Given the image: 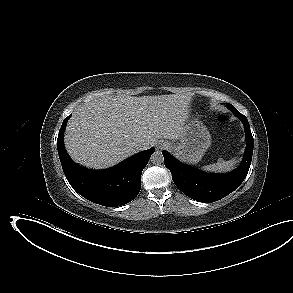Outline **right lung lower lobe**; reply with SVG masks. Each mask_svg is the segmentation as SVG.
I'll list each match as a JSON object with an SVG mask.
<instances>
[{"label": "right lung lower lobe", "mask_w": 293, "mask_h": 293, "mask_svg": "<svg viewBox=\"0 0 293 293\" xmlns=\"http://www.w3.org/2000/svg\"><path fill=\"white\" fill-rule=\"evenodd\" d=\"M60 128L57 149L64 174L70 185L84 198L107 207L125 205L141 188V173L155 149L135 154L106 170H89L74 163L66 153L63 133L67 120Z\"/></svg>", "instance_id": "1"}]
</instances>
